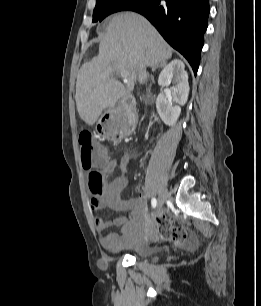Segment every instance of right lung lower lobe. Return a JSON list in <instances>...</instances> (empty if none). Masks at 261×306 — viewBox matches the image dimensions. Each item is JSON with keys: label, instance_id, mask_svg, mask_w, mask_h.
Segmentation results:
<instances>
[{"label": "right lung lower lobe", "instance_id": "right-lung-lower-lobe-1", "mask_svg": "<svg viewBox=\"0 0 261 306\" xmlns=\"http://www.w3.org/2000/svg\"><path fill=\"white\" fill-rule=\"evenodd\" d=\"M142 0L132 11L145 16L164 39L190 63L196 75L203 34L208 26L209 0Z\"/></svg>", "mask_w": 261, "mask_h": 306}]
</instances>
